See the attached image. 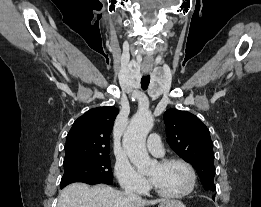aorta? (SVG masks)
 <instances>
[{
	"label": "aorta",
	"instance_id": "obj_1",
	"mask_svg": "<svg viewBox=\"0 0 261 207\" xmlns=\"http://www.w3.org/2000/svg\"><path fill=\"white\" fill-rule=\"evenodd\" d=\"M154 121L150 113H136L123 136V147L127 155L139 172L147 171L155 161L146 149V137L153 128Z\"/></svg>",
	"mask_w": 261,
	"mask_h": 207
}]
</instances>
